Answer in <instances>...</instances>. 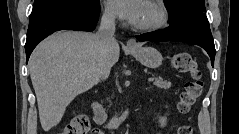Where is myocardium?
Segmentation results:
<instances>
[{
	"label": "myocardium",
	"mask_w": 239,
	"mask_h": 134,
	"mask_svg": "<svg viewBox=\"0 0 239 134\" xmlns=\"http://www.w3.org/2000/svg\"><path fill=\"white\" fill-rule=\"evenodd\" d=\"M149 5L156 13V19L148 24L136 25V28L141 31L152 32L163 28L169 19L168 12L166 8L157 1H147Z\"/></svg>",
	"instance_id": "f54148a6"
}]
</instances>
